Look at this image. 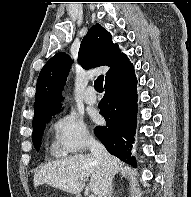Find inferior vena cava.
<instances>
[{
	"mask_svg": "<svg viewBox=\"0 0 191 197\" xmlns=\"http://www.w3.org/2000/svg\"><path fill=\"white\" fill-rule=\"evenodd\" d=\"M88 147L91 151V154L98 160L103 168V180L98 197H109L113 178L112 157L107 152L105 147L93 137L88 139Z\"/></svg>",
	"mask_w": 191,
	"mask_h": 197,
	"instance_id": "602c4592",
	"label": "inferior vena cava"
}]
</instances>
